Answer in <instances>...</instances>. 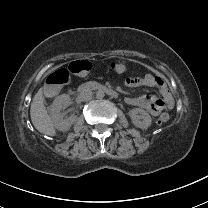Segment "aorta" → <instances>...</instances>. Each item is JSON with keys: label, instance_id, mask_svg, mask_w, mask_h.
Masks as SVG:
<instances>
[{"label": "aorta", "instance_id": "aorta-1", "mask_svg": "<svg viewBox=\"0 0 208 208\" xmlns=\"http://www.w3.org/2000/svg\"><path fill=\"white\" fill-rule=\"evenodd\" d=\"M96 97H97L98 99H103V98H104V92L101 91V90H98V91L96 92Z\"/></svg>", "mask_w": 208, "mask_h": 208}]
</instances>
